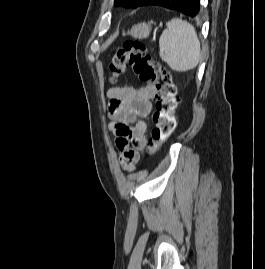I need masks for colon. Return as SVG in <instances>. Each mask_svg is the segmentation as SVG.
Listing matches in <instances>:
<instances>
[{
  "mask_svg": "<svg viewBox=\"0 0 265 269\" xmlns=\"http://www.w3.org/2000/svg\"><path fill=\"white\" fill-rule=\"evenodd\" d=\"M130 68L141 82L155 88L154 127L151 133L150 150H158L172 135L176 127L175 111L177 90L168 70L147 52L139 41H126L117 48L109 65L111 81L116 82ZM118 135L131 138L132 130L126 124L116 128Z\"/></svg>",
  "mask_w": 265,
  "mask_h": 269,
  "instance_id": "obj_1",
  "label": "colon"
}]
</instances>
